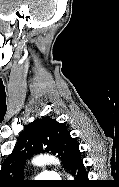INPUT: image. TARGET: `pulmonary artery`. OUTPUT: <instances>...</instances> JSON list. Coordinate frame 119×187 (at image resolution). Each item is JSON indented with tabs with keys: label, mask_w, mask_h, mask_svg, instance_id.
I'll use <instances>...</instances> for the list:
<instances>
[{
	"label": "pulmonary artery",
	"mask_w": 119,
	"mask_h": 187,
	"mask_svg": "<svg viewBox=\"0 0 119 187\" xmlns=\"http://www.w3.org/2000/svg\"><path fill=\"white\" fill-rule=\"evenodd\" d=\"M40 178L42 179H50V180H55V179H58L59 176L57 173L55 172H44Z\"/></svg>",
	"instance_id": "1"
}]
</instances>
